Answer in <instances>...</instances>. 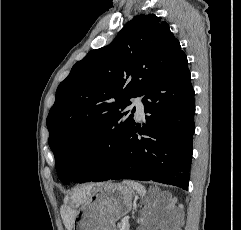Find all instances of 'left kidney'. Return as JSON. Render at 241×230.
I'll list each match as a JSON object with an SVG mask.
<instances>
[{"mask_svg": "<svg viewBox=\"0 0 241 230\" xmlns=\"http://www.w3.org/2000/svg\"><path fill=\"white\" fill-rule=\"evenodd\" d=\"M144 217H145V219L142 223L143 226L139 230H154L152 228V222L155 221L156 218L152 217L151 215L148 216L147 212L144 213Z\"/></svg>", "mask_w": 241, "mask_h": 230, "instance_id": "obj_1", "label": "left kidney"}]
</instances>
